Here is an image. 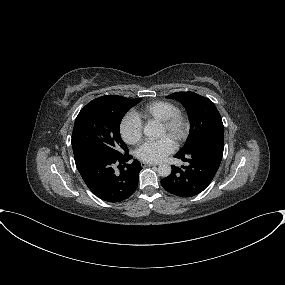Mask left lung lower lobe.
<instances>
[{"label": "left lung lower lobe", "instance_id": "1", "mask_svg": "<svg viewBox=\"0 0 285 285\" xmlns=\"http://www.w3.org/2000/svg\"><path fill=\"white\" fill-rule=\"evenodd\" d=\"M224 134H216L193 148L178 152L175 157L188 162L180 169L171 166V174L161 180L166 191L180 197H192L201 193L214 178L222 160Z\"/></svg>", "mask_w": 285, "mask_h": 285}]
</instances>
